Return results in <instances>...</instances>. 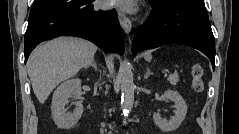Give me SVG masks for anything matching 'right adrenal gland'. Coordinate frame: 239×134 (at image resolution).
Returning a JSON list of instances; mask_svg holds the SVG:
<instances>
[{
  "instance_id": "2a0ac1e0",
  "label": "right adrenal gland",
  "mask_w": 239,
  "mask_h": 134,
  "mask_svg": "<svg viewBox=\"0 0 239 134\" xmlns=\"http://www.w3.org/2000/svg\"><path fill=\"white\" fill-rule=\"evenodd\" d=\"M90 66H92L95 70H97V64H96V62H95L94 59H93L92 62H91L88 66H86L85 68H89Z\"/></svg>"
}]
</instances>
